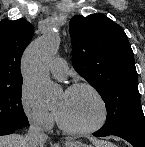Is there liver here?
I'll return each instance as SVG.
<instances>
[{"label":"liver","mask_w":145,"mask_h":147,"mask_svg":"<svg viewBox=\"0 0 145 147\" xmlns=\"http://www.w3.org/2000/svg\"><path fill=\"white\" fill-rule=\"evenodd\" d=\"M93 145L97 147H115V145L108 142H101L95 139H91ZM25 137L12 134L7 136H0V147H27Z\"/></svg>","instance_id":"liver-1"}]
</instances>
